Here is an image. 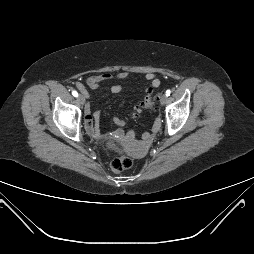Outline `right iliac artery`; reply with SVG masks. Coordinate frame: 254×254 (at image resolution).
<instances>
[{
  "label": "right iliac artery",
  "instance_id": "obj_1",
  "mask_svg": "<svg viewBox=\"0 0 254 254\" xmlns=\"http://www.w3.org/2000/svg\"><path fill=\"white\" fill-rule=\"evenodd\" d=\"M72 95H73L74 97H77V96H78L77 91H73V92H72Z\"/></svg>",
  "mask_w": 254,
  "mask_h": 254
}]
</instances>
